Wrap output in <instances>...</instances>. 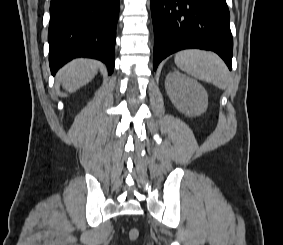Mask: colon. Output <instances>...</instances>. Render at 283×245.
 Segmentation results:
<instances>
[{"mask_svg": "<svg viewBox=\"0 0 283 245\" xmlns=\"http://www.w3.org/2000/svg\"><path fill=\"white\" fill-rule=\"evenodd\" d=\"M128 237L131 241H135L138 239L139 237V230L137 228H132L130 231H129V234H128Z\"/></svg>", "mask_w": 283, "mask_h": 245, "instance_id": "1", "label": "colon"}]
</instances>
